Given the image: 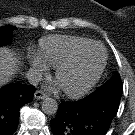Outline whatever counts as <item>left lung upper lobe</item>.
Listing matches in <instances>:
<instances>
[{"mask_svg": "<svg viewBox=\"0 0 135 135\" xmlns=\"http://www.w3.org/2000/svg\"><path fill=\"white\" fill-rule=\"evenodd\" d=\"M105 85H108V86H122L120 75L115 74L110 80H108L105 83Z\"/></svg>", "mask_w": 135, "mask_h": 135, "instance_id": "obj_1", "label": "left lung upper lobe"}]
</instances>
